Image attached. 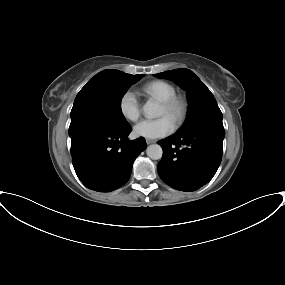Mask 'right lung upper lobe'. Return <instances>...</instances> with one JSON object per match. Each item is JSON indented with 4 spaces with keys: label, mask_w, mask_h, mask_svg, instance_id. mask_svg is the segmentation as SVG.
Returning <instances> with one entry per match:
<instances>
[{
    "label": "right lung upper lobe",
    "mask_w": 285,
    "mask_h": 285,
    "mask_svg": "<svg viewBox=\"0 0 285 285\" xmlns=\"http://www.w3.org/2000/svg\"><path fill=\"white\" fill-rule=\"evenodd\" d=\"M120 72L119 70H114V69H108V70H104L100 73H98L97 75H103V74H110V73H117Z\"/></svg>",
    "instance_id": "1"
}]
</instances>
